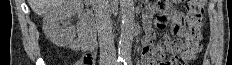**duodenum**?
<instances>
[{"instance_id":"duodenum-1","label":"duodenum","mask_w":232,"mask_h":65,"mask_svg":"<svg viewBox=\"0 0 232 65\" xmlns=\"http://www.w3.org/2000/svg\"><path fill=\"white\" fill-rule=\"evenodd\" d=\"M80 36L88 42L89 50L94 48V20L90 13L83 14L78 25Z\"/></svg>"}]
</instances>
